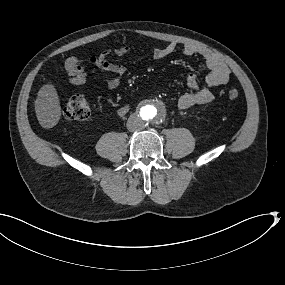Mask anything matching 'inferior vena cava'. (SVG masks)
Segmentation results:
<instances>
[{"instance_id": "602c4592", "label": "inferior vena cava", "mask_w": 285, "mask_h": 285, "mask_svg": "<svg viewBox=\"0 0 285 285\" xmlns=\"http://www.w3.org/2000/svg\"><path fill=\"white\" fill-rule=\"evenodd\" d=\"M142 127L143 122L138 116L132 115L127 121V129L131 132L138 131L142 129Z\"/></svg>"}]
</instances>
